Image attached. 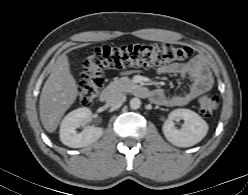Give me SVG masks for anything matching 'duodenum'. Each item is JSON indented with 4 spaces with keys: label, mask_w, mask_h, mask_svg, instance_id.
Wrapping results in <instances>:
<instances>
[{
    "label": "duodenum",
    "mask_w": 248,
    "mask_h": 195,
    "mask_svg": "<svg viewBox=\"0 0 248 195\" xmlns=\"http://www.w3.org/2000/svg\"><path fill=\"white\" fill-rule=\"evenodd\" d=\"M132 92L138 97H148L150 96V90L141 84H133ZM116 94V89L114 87L108 86L101 90L99 98L101 102L110 103Z\"/></svg>",
    "instance_id": "410a0bca"
}]
</instances>
